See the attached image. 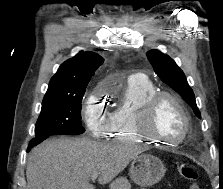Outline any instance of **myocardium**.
I'll use <instances>...</instances> for the list:
<instances>
[{"instance_id":"f54148a6","label":"myocardium","mask_w":223,"mask_h":189,"mask_svg":"<svg viewBox=\"0 0 223 189\" xmlns=\"http://www.w3.org/2000/svg\"><path fill=\"white\" fill-rule=\"evenodd\" d=\"M164 99H169L180 110L184 119L183 134L180 138L174 141H169L159 135H156L151 130L155 110L160 101ZM134 120L136 129L143 139H147L152 142H160L168 147H176L184 142L190 135L192 128L191 116L183 102L174 94L166 91H156L145 99L137 110Z\"/></svg>"}]
</instances>
